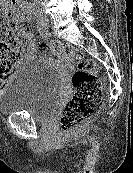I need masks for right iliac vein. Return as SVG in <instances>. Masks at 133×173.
<instances>
[{"label":"right iliac vein","mask_w":133,"mask_h":173,"mask_svg":"<svg viewBox=\"0 0 133 173\" xmlns=\"http://www.w3.org/2000/svg\"><path fill=\"white\" fill-rule=\"evenodd\" d=\"M38 16L43 20L42 14L38 11L37 12ZM44 21V20H43Z\"/></svg>","instance_id":"obj_1"}]
</instances>
